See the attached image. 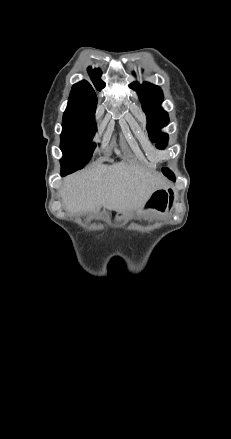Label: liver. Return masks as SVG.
I'll return each mask as SVG.
<instances>
[{
	"instance_id": "liver-1",
	"label": "liver",
	"mask_w": 231,
	"mask_h": 439,
	"mask_svg": "<svg viewBox=\"0 0 231 439\" xmlns=\"http://www.w3.org/2000/svg\"><path fill=\"white\" fill-rule=\"evenodd\" d=\"M167 187L161 175L124 162L98 165L64 180L60 195L72 214L94 211L102 204L116 211L139 208L158 189Z\"/></svg>"
}]
</instances>
